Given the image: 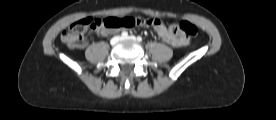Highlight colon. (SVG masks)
I'll return each mask as SVG.
<instances>
[{"label": "colon", "instance_id": "colon-1", "mask_svg": "<svg viewBox=\"0 0 276 120\" xmlns=\"http://www.w3.org/2000/svg\"><path fill=\"white\" fill-rule=\"evenodd\" d=\"M157 18H141V17H106L101 19L86 18L72 24L61 35L63 43L70 47H78L79 41L85 32L89 30L107 29L115 30L120 28H130L142 25H152L158 23ZM171 34H183L187 38H195L197 36V27L188 21L179 23H171L168 27Z\"/></svg>", "mask_w": 276, "mask_h": 120}]
</instances>
